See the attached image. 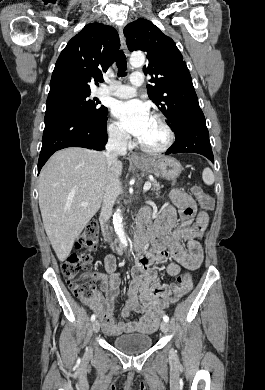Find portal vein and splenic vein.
<instances>
[{"label": "portal vein and splenic vein", "instance_id": "18ae733b", "mask_svg": "<svg viewBox=\"0 0 265 390\" xmlns=\"http://www.w3.org/2000/svg\"><path fill=\"white\" fill-rule=\"evenodd\" d=\"M151 188V182H146L143 187V192H147ZM88 203H82V206H87Z\"/></svg>", "mask_w": 265, "mask_h": 390}]
</instances>
